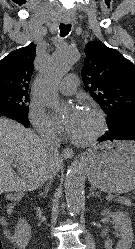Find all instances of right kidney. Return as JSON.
I'll use <instances>...</instances> for the list:
<instances>
[{"mask_svg":"<svg viewBox=\"0 0 135 249\" xmlns=\"http://www.w3.org/2000/svg\"><path fill=\"white\" fill-rule=\"evenodd\" d=\"M31 237V228L25 219H20L14 234L15 244L19 249H25Z\"/></svg>","mask_w":135,"mask_h":249,"instance_id":"ca27d5eb","label":"right kidney"}]
</instances>
